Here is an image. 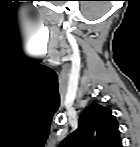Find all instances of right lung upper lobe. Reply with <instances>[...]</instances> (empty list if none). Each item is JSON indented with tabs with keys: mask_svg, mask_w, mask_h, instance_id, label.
Returning <instances> with one entry per match:
<instances>
[{
	"mask_svg": "<svg viewBox=\"0 0 140 147\" xmlns=\"http://www.w3.org/2000/svg\"><path fill=\"white\" fill-rule=\"evenodd\" d=\"M60 147H122L118 122L108 107L90 104L79 119L78 129Z\"/></svg>",
	"mask_w": 140,
	"mask_h": 147,
	"instance_id": "obj_1",
	"label": "right lung upper lobe"
}]
</instances>
